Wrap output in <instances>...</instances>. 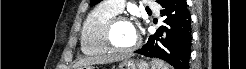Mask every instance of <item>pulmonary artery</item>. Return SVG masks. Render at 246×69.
<instances>
[{"label": "pulmonary artery", "mask_w": 246, "mask_h": 69, "mask_svg": "<svg viewBox=\"0 0 246 69\" xmlns=\"http://www.w3.org/2000/svg\"><path fill=\"white\" fill-rule=\"evenodd\" d=\"M106 3L111 9H113L117 13H120L124 7V1L123 0H111V1H107ZM148 5H149V7H153L155 5V3L149 2Z\"/></svg>", "instance_id": "obj_1"}]
</instances>
